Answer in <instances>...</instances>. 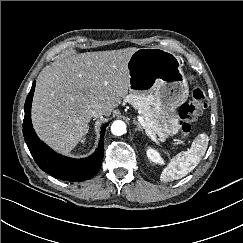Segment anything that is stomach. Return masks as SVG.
Listing matches in <instances>:
<instances>
[{
	"label": "stomach",
	"instance_id": "1",
	"mask_svg": "<svg viewBox=\"0 0 243 243\" xmlns=\"http://www.w3.org/2000/svg\"><path fill=\"white\" fill-rule=\"evenodd\" d=\"M130 91L153 94V109L166 136L178 133L175 109L188 97V83L179 58L162 48H140L127 64Z\"/></svg>",
	"mask_w": 243,
	"mask_h": 243
}]
</instances>
